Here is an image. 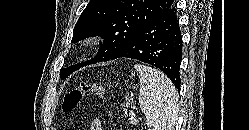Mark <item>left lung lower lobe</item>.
<instances>
[{
	"instance_id": "1",
	"label": "left lung lower lobe",
	"mask_w": 249,
	"mask_h": 130,
	"mask_svg": "<svg viewBox=\"0 0 249 130\" xmlns=\"http://www.w3.org/2000/svg\"><path fill=\"white\" fill-rule=\"evenodd\" d=\"M127 57L162 70L180 91L182 37L174 4L143 26L110 60Z\"/></svg>"
}]
</instances>
